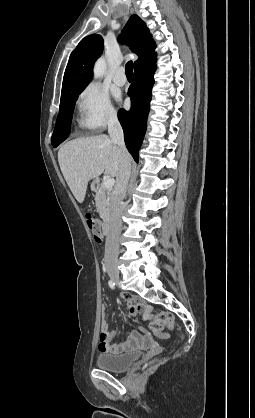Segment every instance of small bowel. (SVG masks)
Instances as JSON below:
<instances>
[{"instance_id":"small-bowel-1","label":"small bowel","mask_w":255,"mask_h":418,"mask_svg":"<svg viewBox=\"0 0 255 418\" xmlns=\"http://www.w3.org/2000/svg\"><path fill=\"white\" fill-rule=\"evenodd\" d=\"M129 315L135 316L142 313L143 320H149L151 317V309L143 301L139 299H129L127 302ZM115 333L109 330L105 309L102 310L101 331L99 338V350L101 352L120 354L125 351L142 346L147 337L144 329L140 332H132L127 341L123 343H112Z\"/></svg>"}]
</instances>
